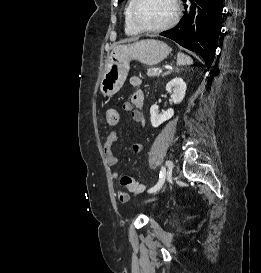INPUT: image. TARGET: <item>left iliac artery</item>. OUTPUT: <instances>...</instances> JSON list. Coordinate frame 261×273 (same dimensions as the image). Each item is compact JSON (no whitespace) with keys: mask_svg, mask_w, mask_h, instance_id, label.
<instances>
[{"mask_svg":"<svg viewBox=\"0 0 261 273\" xmlns=\"http://www.w3.org/2000/svg\"><path fill=\"white\" fill-rule=\"evenodd\" d=\"M159 177H160V179H159L158 183L154 187H152L148 190L149 193H154L162 187L164 180H165V168L164 167H162Z\"/></svg>","mask_w":261,"mask_h":273,"instance_id":"1","label":"left iliac artery"}]
</instances>
